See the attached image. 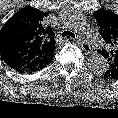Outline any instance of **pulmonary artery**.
Wrapping results in <instances>:
<instances>
[{
  "label": "pulmonary artery",
  "instance_id": "1",
  "mask_svg": "<svg viewBox=\"0 0 118 118\" xmlns=\"http://www.w3.org/2000/svg\"><path fill=\"white\" fill-rule=\"evenodd\" d=\"M90 35H91L90 43L94 47L99 48L101 46V39H100V37L96 33H94L93 31L90 32Z\"/></svg>",
  "mask_w": 118,
  "mask_h": 118
}]
</instances>
